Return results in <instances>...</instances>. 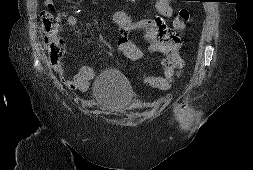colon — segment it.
I'll return each instance as SVG.
<instances>
[{
    "label": "colon",
    "instance_id": "obj_1",
    "mask_svg": "<svg viewBox=\"0 0 253 170\" xmlns=\"http://www.w3.org/2000/svg\"><path fill=\"white\" fill-rule=\"evenodd\" d=\"M179 22L177 27H182L189 19V12L187 9H181L178 14ZM41 28L45 34V44L52 62L58 63L64 55L63 40L54 33V18L49 12L41 13ZM149 85L158 87L159 83L154 80L149 81Z\"/></svg>",
    "mask_w": 253,
    "mask_h": 170
}]
</instances>
